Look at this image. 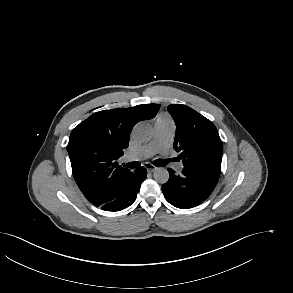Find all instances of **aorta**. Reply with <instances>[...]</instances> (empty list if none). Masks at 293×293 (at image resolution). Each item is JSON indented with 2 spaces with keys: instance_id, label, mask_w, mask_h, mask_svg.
<instances>
[{
  "instance_id": "aorta-1",
  "label": "aorta",
  "mask_w": 293,
  "mask_h": 293,
  "mask_svg": "<svg viewBox=\"0 0 293 293\" xmlns=\"http://www.w3.org/2000/svg\"><path fill=\"white\" fill-rule=\"evenodd\" d=\"M132 136L137 142H147L153 137V128L146 122H139L133 128ZM153 177L156 182L164 184L169 179V172L165 168H158Z\"/></svg>"
}]
</instances>
